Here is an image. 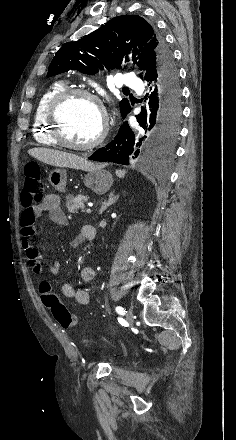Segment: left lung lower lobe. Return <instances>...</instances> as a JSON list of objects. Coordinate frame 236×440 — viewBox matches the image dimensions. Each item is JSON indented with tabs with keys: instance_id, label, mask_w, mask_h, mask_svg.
I'll return each mask as SVG.
<instances>
[{
	"instance_id": "obj_1",
	"label": "left lung lower lobe",
	"mask_w": 236,
	"mask_h": 440,
	"mask_svg": "<svg viewBox=\"0 0 236 440\" xmlns=\"http://www.w3.org/2000/svg\"><path fill=\"white\" fill-rule=\"evenodd\" d=\"M142 79L149 83L151 91L140 100L142 110L136 115L139 127L132 129L125 121L114 140L88 159L128 165L129 160L143 153L160 155L168 150L178 134L182 115L179 76L173 57L150 63ZM130 111L131 107L122 118Z\"/></svg>"
}]
</instances>
